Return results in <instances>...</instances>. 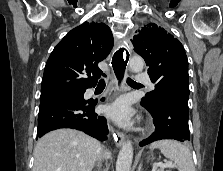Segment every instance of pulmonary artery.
<instances>
[{
	"mask_svg": "<svg viewBox=\"0 0 223 171\" xmlns=\"http://www.w3.org/2000/svg\"><path fill=\"white\" fill-rule=\"evenodd\" d=\"M136 80L139 83L147 84L150 88H153V84L150 82L148 76L145 73H138Z\"/></svg>",
	"mask_w": 223,
	"mask_h": 171,
	"instance_id": "1",
	"label": "pulmonary artery"
}]
</instances>
